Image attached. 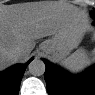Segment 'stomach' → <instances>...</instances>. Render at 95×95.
I'll use <instances>...</instances> for the list:
<instances>
[{"instance_id":"1","label":"stomach","mask_w":95,"mask_h":95,"mask_svg":"<svg viewBox=\"0 0 95 95\" xmlns=\"http://www.w3.org/2000/svg\"><path fill=\"white\" fill-rule=\"evenodd\" d=\"M84 36L81 23H70L60 29L53 37L41 44V49L54 61H61L77 48Z\"/></svg>"}]
</instances>
